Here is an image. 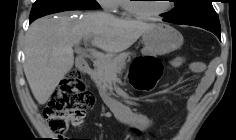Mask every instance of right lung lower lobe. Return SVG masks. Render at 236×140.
<instances>
[{
	"label": "right lung lower lobe",
	"mask_w": 236,
	"mask_h": 140,
	"mask_svg": "<svg viewBox=\"0 0 236 140\" xmlns=\"http://www.w3.org/2000/svg\"><path fill=\"white\" fill-rule=\"evenodd\" d=\"M32 21H34V19H30V23H31Z\"/></svg>",
	"instance_id": "right-lung-lower-lobe-1"
}]
</instances>
